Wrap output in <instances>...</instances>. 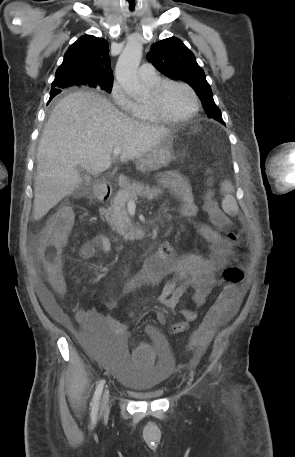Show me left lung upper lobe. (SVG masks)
I'll use <instances>...</instances> for the list:
<instances>
[{"label": "left lung upper lobe", "instance_id": "1", "mask_svg": "<svg viewBox=\"0 0 295 457\" xmlns=\"http://www.w3.org/2000/svg\"><path fill=\"white\" fill-rule=\"evenodd\" d=\"M147 58L165 76L190 85L200 98L207 116L225 124L203 69L180 39L171 37L154 43Z\"/></svg>", "mask_w": 295, "mask_h": 457}]
</instances>
